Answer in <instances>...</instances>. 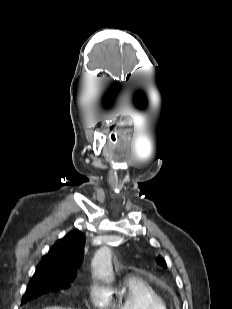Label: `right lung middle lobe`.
Listing matches in <instances>:
<instances>
[{
	"label": "right lung middle lobe",
	"mask_w": 232,
	"mask_h": 309,
	"mask_svg": "<svg viewBox=\"0 0 232 309\" xmlns=\"http://www.w3.org/2000/svg\"><path fill=\"white\" fill-rule=\"evenodd\" d=\"M72 281L68 279L49 278L47 276H38L32 278L25 294L22 297L21 304H25L43 294L59 288L67 287Z\"/></svg>",
	"instance_id": "1"
}]
</instances>
